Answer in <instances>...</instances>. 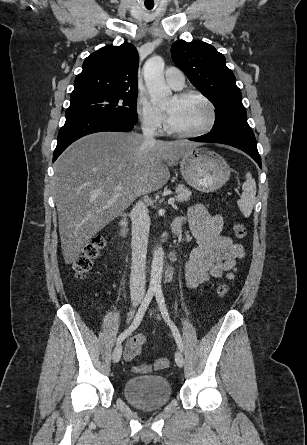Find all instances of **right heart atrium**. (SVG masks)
I'll return each mask as SVG.
<instances>
[{
  "mask_svg": "<svg viewBox=\"0 0 307 445\" xmlns=\"http://www.w3.org/2000/svg\"><path fill=\"white\" fill-rule=\"evenodd\" d=\"M136 112L143 129L150 134L162 132L164 118L159 109L145 96H139L136 101Z\"/></svg>",
  "mask_w": 307,
  "mask_h": 445,
  "instance_id": "d8ad5b80",
  "label": "right heart atrium"
}]
</instances>
